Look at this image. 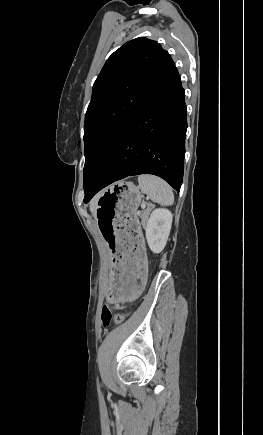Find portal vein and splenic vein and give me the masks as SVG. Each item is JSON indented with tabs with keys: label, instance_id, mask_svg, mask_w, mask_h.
<instances>
[{
	"label": "portal vein and splenic vein",
	"instance_id": "portal-vein-and-splenic-vein-1",
	"mask_svg": "<svg viewBox=\"0 0 263 435\" xmlns=\"http://www.w3.org/2000/svg\"><path fill=\"white\" fill-rule=\"evenodd\" d=\"M145 207V205H142V208H144Z\"/></svg>",
	"mask_w": 263,
	"mask_h": 435
}]
</instances>
